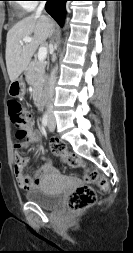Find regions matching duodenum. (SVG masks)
<instances>
[{
	"label": "duodenum",
	"mask_w": 133,
	"mask_h": 253,
	"mask_svg": "<svg viewBox=\"0 0 133 253\" xmlns=\"http://www.w3.org/2000/svg\"><path fill=\"white\" fill-rule=\"evenodd\" d=\"M20 76H21V78H28L29 75H28V73H21ZM42 89H43L42 85H39L38 88L36 89V92H37L36 100H37L38 108L40 110H42L43 106H44L43 101H42L43 100Z\"/></svg>",
	"instance_id": "410a0bca"
}]
</instances>
